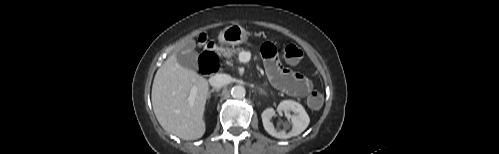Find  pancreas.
<instances>
[{"label": "pancreas", "mask_w": 499, "mask_h": 154, "mask_svg": "<svg viewBox=\"0 0 499 154\" xmlns=\"http://www.w3.org/2000/svg\"><path fill=\"white\" fill-rule=\"evenodd\" d=\"M242 51H243V49H242V48H240V47H238V48H222V49H221V53H222V55H223L225 58L229 59L228 64H231V62L233 61V60H232V57H233L234 55H236V54H238V53H240V52H242Z\"/></svg>", "instance_id": "pancreas-1"}]
</instances>
